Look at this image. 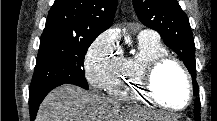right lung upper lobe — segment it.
I'll return each mask as SVG.
<instances>
[{
    "label": "right lung upper lobe",
    "instance_id": "obj_1",
    "mask_svg": "<svg viewBox=\"0 0 217 121\" xmlns=\"http://www.w3.org/2000/svg\"><path fill=\"white\" fill-rule=\"evenodd\" d=\"M117 0H55L43 33L96 38L113 22Z\"/></svg>",
    "mask_w": 217,
    "mask_h": 121
}]
</instances>
